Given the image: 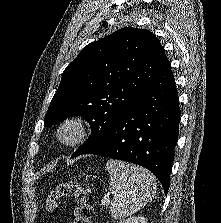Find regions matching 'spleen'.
I'll return each mask as SVG.
<instances>
[{
    "label": "spleen",
    "mask_w": 221,
    "mask_h": 223,
    "mask_svg": "<svg viewBox=\"0 0 221 223\" xmlns=\"http://www.w3.org/2000/svg\"><path fill=\"white\" fill-rule=\"evenodd\" d=\"M113 193L110 210L115 219H124L143 208L156 191L154 176L148 170L119 160L106 164Z\"/></svg>",
    "instance_id": "3e777b00"
}]
</instances>
